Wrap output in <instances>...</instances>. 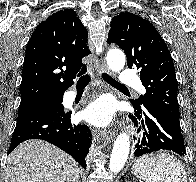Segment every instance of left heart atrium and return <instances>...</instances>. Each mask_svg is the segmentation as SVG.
<instances>
[{
    "instance_id": "39dd6f15",
    "label": "left heart atrium",
    "mask_w": 196,
    "mask_h": 182,
    "mask_svg": "<svg viewBox=\"0 0 196 182\" xmlns=\"http://www.w3.org/2000/svg\"><path fill=\"white\" fill-rule=\"evenodd\" d=\"M115 106L111 99L101 97L94 101L84 111V118L99 127L107 126L113 119Z\"/></svg>"
}]
</instances>
